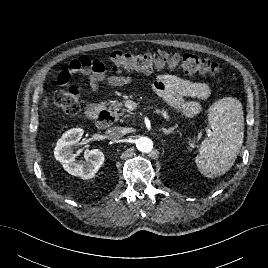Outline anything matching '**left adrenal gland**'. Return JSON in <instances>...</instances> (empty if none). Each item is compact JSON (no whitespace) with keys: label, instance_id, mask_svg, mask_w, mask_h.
I'll return each instance as SVG.
<instances>
[{"label":"left adrenal gland","instance_id":"1","mask_svg":"<svg viewBox=\"0 0 268 268\" xmlns=\"http://www.w3.org/2000/svg\"><path fill=\"white\" fill-rule=\"evenodd\" d=\"M175 129H177V125H175L174 127H170L168 129L162 128V131H163L164 134L170 135V134H173L174 133V130Z\"/></svg>","mask_w":268,"mask_h":268}]
</instances>
